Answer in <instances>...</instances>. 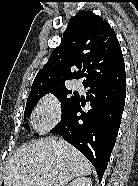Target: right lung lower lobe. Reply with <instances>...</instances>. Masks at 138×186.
Listing matches in <instances>:
<instances>
[{
  "mask_svg": "<svg viewBox=\"0 0 138 186\" xmlns=\"http://www.w3.org/2000/svg\"><path fill=\"white\" fill-rule=\"evenodd\" d=\"M86 101L91 109L82 111V99L50 131L77 148L97 170L101 181L115 145L124 109L126 76L110 82L88 83ZM80 113V115H77Z\"/></svg>",
  "mask_w": 138,
  "mask_h": 186,
  "instance_id": "obj_1",
  "label": "right lung lower lobe"
}]
</instances>
